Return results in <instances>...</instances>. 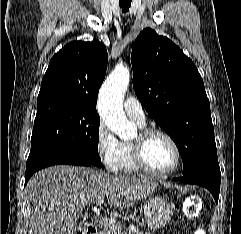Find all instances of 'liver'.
Here are the masks:
<instances>
[{"label": "liver", "mask_w": 241, "mask_h": 234, "mask_svg": "<svg viewBox=\"0 0 241 234\" xmlns=\"http://www.w3.org/2000/svg\"><path fill=\"white\" fill-rule=\"evenodd\" d=\"M146 178L114 176L87 167L58 165L35 173L25 188L29 234H76L85 207L108 198L117 210L146 199L157 187Z\"/></svg>", "instance_id": "1"}]
</instances>
